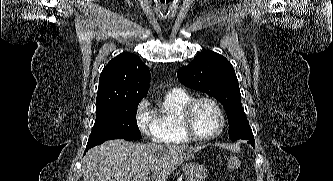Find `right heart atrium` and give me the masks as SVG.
I'll return each mask as SVG.
<instances>
[{
  "label": "right heart atrium",
  "mask_w": 333,
  "mask_h": 181,
  "mask_svg": "<svg viewBox=\"0 0 333 181\" xmlns=\"http://www.w3.org/2000/svg\"><path fill=\"white\" fill-rule=\"evenodd\" d=\"M135 120L140 131L149 138H154L157 132V122L148 100H141L135 111Z\"/></svg>",
  "instance_id": "d8ad5b80"
}]
</instances>
